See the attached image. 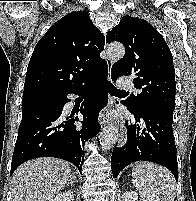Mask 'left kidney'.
Masks as SVG:
<instances>
[{"label":"left kidney","instance_id":"left-kidney-1","mask_svg":"<svg viewBox=\"0 0 196 201\" xmlns=\"http://www.w3.org/2000/svg\"><path fill=\"white\" fill-rule=\"evenodd\" d=\"M122 201H138V195L134 191L125 192L122 195Z\"/></svg>","mask_w":196,"mask_h":201}]
</instances>
